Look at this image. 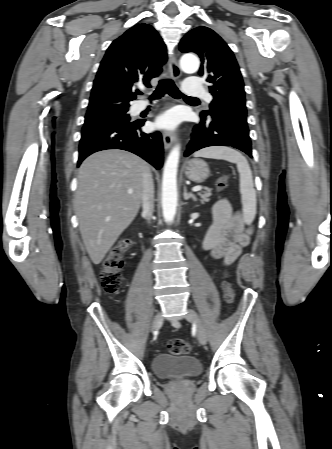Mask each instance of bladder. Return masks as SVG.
Returning <instances> with one entry per match:
<instances>
[{
  "instance_id": "1",
  "label": "bladder",
  "mask_w": 332,
  "mask_h": 449,
  "mask_svg": "<svg viewBox=\"0 0 332 449\" xmlns=\"http://www.w3.org/2000/svg\"><path fill=\"white\" fill-rule=\"evenodd\" d=\"M153 373L160 379L196 377L202 372L200 361L188 355L158 354L152 360Z\"/></svg>"
}]
</instances>
